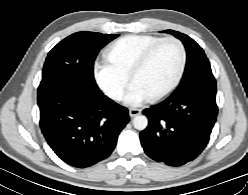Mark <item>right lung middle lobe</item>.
Masks as SVG:
<instances>
[{
	"label": "right lung middle lobe",
	"instance_id": "right-lung-middle-lobe-1",
	"mask_svg": "<svg viewBox=\"0 0 248 195\" xmlns=\"http://www.w3.org/2000/svg\"><path fill=\"white\" fill-rule=\"evenodd\" d=\"M118 34L76 32L54 46L46 58L38 94L59 86L99 91L94 63L99 51Z\"/></svg>",
	"mask_w": 248,
	"mask_h": 195
}]
</instances>
